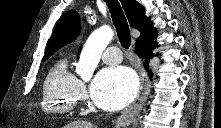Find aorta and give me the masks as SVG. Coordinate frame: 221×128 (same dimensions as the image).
Returning a JSON list of instances; mask_svg holds the SVG:
<instances>
[{"mask_svg":"<svg viewBox=\"0 0 221 128\" xmlns=\"http://www.w3.org/2000/svg\"><path fill=\"white\" fill-rule=\"evenodd\" d=\"M114 36L109 26H101L87 39L76 65V73L84 80L89 81L96 69L101 55Z\"/></svg>","mask_w":221,"mask_h":128,"instance_id":"1","label":"aorta"}]
</instances>
